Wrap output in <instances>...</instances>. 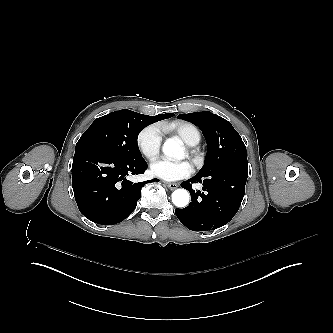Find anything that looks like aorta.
Returning a JSON list of instances; mask_svg holds the SVG:
<instances>
[{
  "mask_svg": "<svg viewBox=\"0 0 333 333\" xmlns=\"http://www.w3.org/2000/svg\"><path fill=\"white\" fill-rule=\"evenodd\" d=\"M163 153L168 157H178L183 153L181 141L177 138L167 139L162 147ZM172 202L177 207H185L189 203V193L185 189H176L172 193Z\"/></svg>",
  "mask_w": 333,
  "mask_h": 333,
  "instance_id": "aorta-1",
  "label": "aorta"
}]
</instances>
